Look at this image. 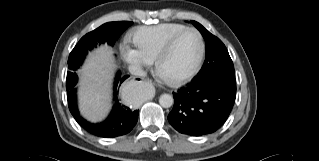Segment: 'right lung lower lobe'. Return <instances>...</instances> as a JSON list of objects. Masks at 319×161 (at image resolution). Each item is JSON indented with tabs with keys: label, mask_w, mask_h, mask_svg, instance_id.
<instances>
[{
	"label": "right lung lower lobe",
	"mask_w": 319,
	"mask_h": 161,
	"mask_svg": "<svg viewBox=\"0 0 319 161\" xmlns=\"http://www.w3.org/2000/svg\"><path fill=\"white\" fill-rule=\"evenodd\" d=\"M128 77V75L120 77V73H117L114 84L113 110L104 122L98 124L87 122L80 116L77 108L76 91L74 86L70 89H67L69 110L77 123L89 133L105 138H112L129 133L137 123L138 110L132 111L129 107L122 105L118 99L119 88L116 92L117 86L120 87L121 83Z\"/></svg>",
	"instance_id": "1"
}]
</instances>
